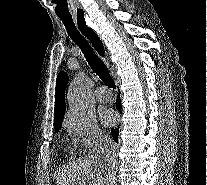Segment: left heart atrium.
<instances>
[{
    "instance_id": "39dd6f15",
    "label": "left heart atrium",
    "mask_w": 207,
    "mask_h": 185,
    "mask_svg": "<svg viewBox=\"0 0 207 185\" xmlns=\"http://www.w3.org/2000/svg\"><path fill=\"white\" fill-rule=\"evenodd\" d=\"M100 119L103 124L111 125L115 121V113L111 110L104 109L100 112Z\"/></svg>"
}]
</instances>
